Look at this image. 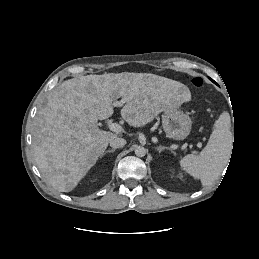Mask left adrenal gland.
I'll return each mask as SVG.
<instances>
[{
	"label": "left adrenal gland",
	"instance_id": "obj_1",
	"mask_svg": "<svg viewBox=\"0 0 259 259\" xmlns=\"http://www.w3.org/2000/svg\"><path fill=\"white\" fill-rule=\"evenodd\" d=\"M157 151H159V153H161L162 151H164L165 149H168L167 147L165 146H159V147H156L155 148Z\"/></svg>",
	"mask_w": 259,
	"mask_h": 259
}]
</instances>
